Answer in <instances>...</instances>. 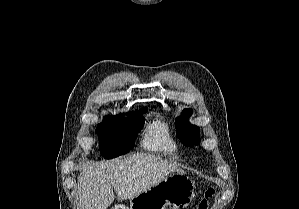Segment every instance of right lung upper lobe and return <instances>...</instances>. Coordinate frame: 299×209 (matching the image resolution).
Returning <instances> with one entry per match:
<instances>
[{"mask_svg": "<svg viewBox=\"0 0 299 209\" xmlns=\"http://www.w3.org/2000/svg\"><path fill=\"white\" fill-rule=\"evenodd\" d=\"M146 111H147V109L145 108V109H141L139 111L127 113V115L139 114V113H143V112H146ZM117 116H119V115H117Z\"/></svg>", "mask_w": 299, "mask_h": 209, "instance_id": "1", "label": "right lung upper lobe"}]
</instances>
